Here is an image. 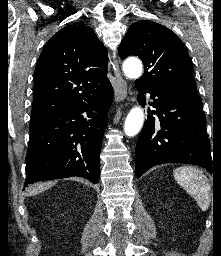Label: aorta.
Masks as SVG:
<instances>
[{
	"label": "aorta",
	"instance_id": "obj_1",
	"mask_svg": "<svg viewBox=\"0 0 221 256\" xmlns=\"http://www.w3.org/2000/svg\"><path fill=\"white\" fill-rule=\"evenodd\" d=\"M123 71L128 78L137 79L142 74V63L138 59L127 60L123 64ZM144 123V112L140 106L133 107L128 113L124 132L127 136H135L142 128Z\"/></svg>",
	"mask_w": 221,
	"mask_h": 256
}]
</instances>
